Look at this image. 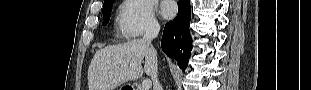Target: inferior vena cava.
Returning a JSON list of instances; mask_svg holds the SVG:
<instances>
[{"instance_id":"obj_1","label":"inferior vena cava","mask_w":311,"mask_h":90,"mask_svg":"<svg viewBox=\"0 0 311 90\" xmlns=\"http://www.w3.org/2000/svg\"><path fill=\"white\" fill-rule=\"evenodd\" d=\"M160 31V25L156 22L154 23H150L146 29H145V33L143 36V49L144 51H146L145 53V63L146 66H148L149 70H152L151 72V79L153 81V87L154 90H162V87L159 83L158 80V62L157 59L155 58L156 56V48H154L153 44H152V40L155 39Z\"/></svg>"}]
</instances>
